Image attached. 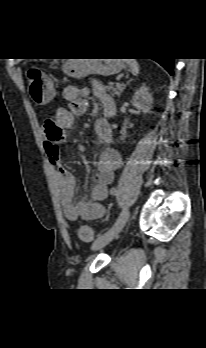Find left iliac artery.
I'll list each match as a JSON object with an SVG mask.
<instances>
[{"label": "left iliac artery", "instance_id": "left-iliac-artery-1", "mask_svg": "<svg viewBox=\"0 0 206 348\" xmlns=\"http://www.w3.org/2000/svg\"><path fill=\"white\" fill-rule=\"evenodd\" d=\"M111 194L116 195V190H111Z\"/></svg>", "mask_w": 206, "mask_h": 348}]
</instances>
